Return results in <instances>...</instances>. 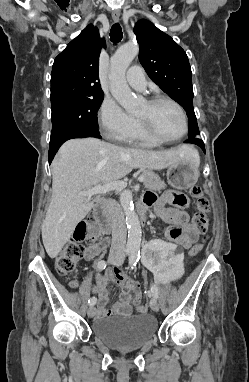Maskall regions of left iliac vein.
<instances>
[{
  "label": "left iliac vein",
  "instance_id": "1",
  "mask_svg": "<svg viewBox=\"0 0 249 382\" xmlns=\"http://www.w3.org/2000/svg\"><path fill=\"white\" fill-rule=\"evenodd\" d=\"M123 260L121 259L119 262H117L115 265L120 266L122 264ZM150 307L153 311L158 312L159 311V303L156 299H151L150 301Z\"/></svg>",
  "mask_w": 249,
  "mask_h": 382
}]
</instances>
